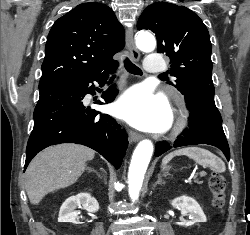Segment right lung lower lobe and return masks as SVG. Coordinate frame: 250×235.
Wrapping results in <instances>:
<instances>
[{
  "instance_id": "obj_1",
  "label": "right lung lower lobe",
  "mask_w": 250,
  "mask_h": 235,
  "mask_svg": "<svg viewBox=\"0 0 250 235\" xmlns=\"http://www.w3.org/2000/svg\"><path fill=\"white\" fill-rule=\"evenodd\" d=\"M116 64L99 71L60 83L39 87L40 97L34 110V128L26 149L25 169L33 157L44 148L60 143L88 146L111 162L121 166L127 148V134L107 114L85 107L86 94H94L93 81L104 85ZM118 90L112 85L103 92L105 103L114 100ZM100 114V115H99Z\"/></svg>"
}]
</instances>
